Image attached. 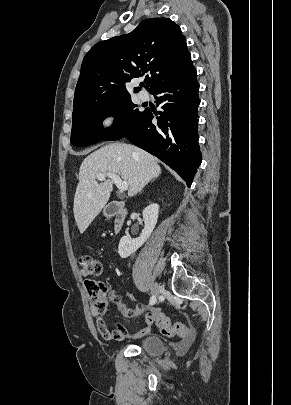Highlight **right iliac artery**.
I'll return each mask as SVG.
<instances>
[{"mask_svg":"<svg viewBox=\"0 0 291 405\" xmlns=\"http://www.w3.org/2000/svg\"><path fill=\"white\" fill-rule=\"evenodd\" d=\"M155 302H156V298L154 296H151L149 304L153 305V304H155Z\"/></svg>","mask_w":291,"mask_h":405,"instance_id":"1","label":"right iliac artery"}]
</instances>
